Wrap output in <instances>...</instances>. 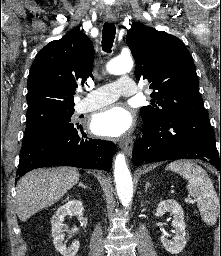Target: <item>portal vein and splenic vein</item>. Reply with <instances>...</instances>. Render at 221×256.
Returning a JSON list of instances; mask_svg holds the SVG:
<instances>
[{
	"label": "portal vein and splenic vein",
	"mask_w": 221,
	"mask_h": 256,
	"mask_svg": "<svg viewBox=\"0 0 221 256\" xmlns=\"http://www.w3.org/2000/svg\"><path fill=\"white\" fill-rule=\"evenodd\" d=\"M186 201L191 202V201H192V198L188 195V197L186 198Z\"/></svg>",
	"instance_id": "1"
}]
</instances>
